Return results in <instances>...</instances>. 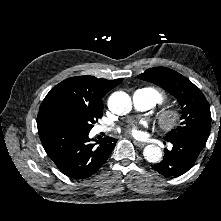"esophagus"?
<instances>
[{
	"mask_svg": "<svg viewBox=\"0 0 221 221\" xmlns=\"http://www.w3.org/2000/svg\"><path fill=\"white\" fill-rule=\"evenodd\" d=\"M133 143H134L137 147H139V148H143V147L146 146V143L140 142V141H136V140H133Z\"/></svg>",
	"mask_w": 221,
	"mask_h": 221,
	"instance_id": "esophagus-1",
	"label": "esophagus"
}]
</instances>
